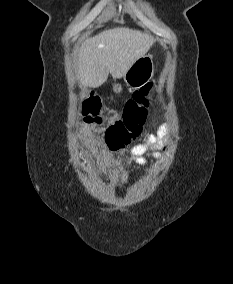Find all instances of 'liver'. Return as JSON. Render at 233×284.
<instances>
[{
    "label": "liver",
    "instance_id": "6515ba94",
    "mask_svg": "<svg viewBox=\"0 0 233 284\" xmlns=\"http://www.w3.org/2000/svg\"><path fill=\"white\" fill-rule=\"evenodd\" d=\"M154 43L146 33L118 27L88 39L78 51L77 75L83 87L98 88L113 78L123 77L132 64Z\"/></svg>",
    "mask_w": 233,
    "mask_h": 284
}]
</instances>
